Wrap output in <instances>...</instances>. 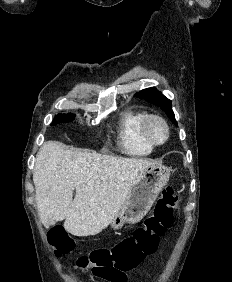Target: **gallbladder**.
Here are the masks:
<instances>
[{
    "instance_id": "gallbladder-1",
    "label": "gallbladder",
    "mask_w": 232,
    "mask_h": 282,
    "mask_svg": "<svg viewBox=\"0 0 232 282\" xmlns=\"http://www.w3.org/2000/svg\"><path fill=\"white\" fill-rule=\"evenodd\" d=\"M55 224V222L54 221H51L50 223H49V225H54Z\"/></svg>"
}]
</instances>
